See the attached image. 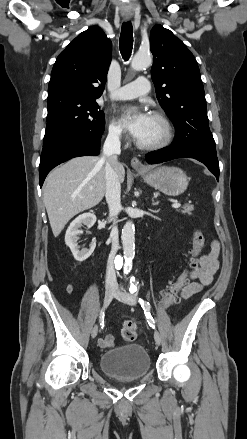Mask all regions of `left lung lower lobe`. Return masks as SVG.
Here are the masks:
<instances>
[{"label": "left lung lower lobe", "instance_id": "1", "mask_svg": "<svg viewBox=\"0 0 247 439\" xmlns=\"http://www.w3.org/2000/svg\"><path fill=\"white\" fill-rule=\"evenodd\" d=\"M145 158L149 164L162 163L176 158H194L207 166V168L216 176L217 180L219 179V168L213 167L208 161L197 155L181 150L174 143L164 149L148 153Z\"/></svg>", "mask_w": 247, "mask_h": 439}]
</instances>
